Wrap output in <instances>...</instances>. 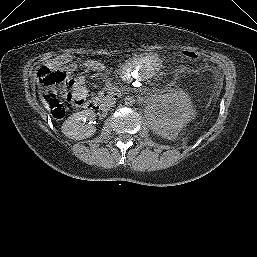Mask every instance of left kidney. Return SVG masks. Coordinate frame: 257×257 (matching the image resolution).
Here are the masks:
<instances>
[{
	"mask_svg": "<svg viewBox=\"0 0 257 257\" xmlns=\"http://www.w3.org/2000/svg\"><path fill=\"white\" fill-rule=\"evenodd\" d=\"M195 114L191 99L183 90L159 95L148 106L151 128L169 139L175 138Z\"/></svg>",
	"mask_w": 257,
	"mask_h": 257,
	"instance_id": "1",
	"label": "left kidney"
}]
</instances>
